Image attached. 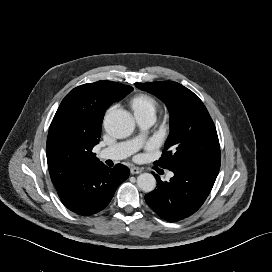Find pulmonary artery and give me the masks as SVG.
<instances>
[{
    "instance_id": "e3ab8cb5",
    "label": "pulmonary artery",
    "mask_w": 272,
    "mask_h": 272,
    "mask_svg": "<svg viewBox=\"0 0 272 272\" xmlns=\"http://www.w3.org/2000/svg\"><path fill=\"white\" fill-rule=\"evenodd\" d=\"M136 120H137L138 126L142 130H146L153 125L155 118L141 117V118H136ZM144 139H145V135L140 134L131 140L120 142L101 150L98 154V157L103 160L124 159L130 156L131 154H133L135 151H137L142 146Z\"/></svg>"
}]
</instances>
